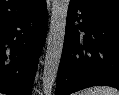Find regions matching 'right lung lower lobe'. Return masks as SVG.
<instances>
[{"instance_id":"obj_1","label":"right lung lower lobe","mask_w":119,"mask_h":95,"mask_svg":"<svg viewBox=\"0 0 119 95\" xmlns=\"http://www.w3.org/2000/svg\"><path fill=\"white\" fill-rule=\"evenodd\" d=\"M47 29L46 1L0 25V93L31 95Z\"/></svg>"}]
</instances>
